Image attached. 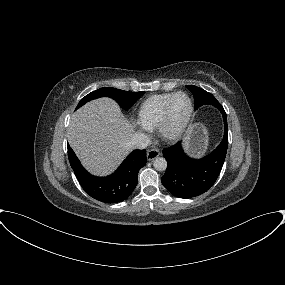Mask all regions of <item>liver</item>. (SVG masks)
Masks as SVG:
<instances>
[{"mask_svg":"<svg viewBox=\"0 0 285 285\" xmlns=\"http://www.w3.org/2000/svg\"><path fill=\"white\" fill-rule=\"evenodd\" d=\"M133 126L109 98L88 102L71 117L67 137L83 166L92 174L113 172L130 152Z\"/></svg>","mask_w":285,"mask_h":285,"instance_id":"liver-1","label":"liver"}]
</instances>
